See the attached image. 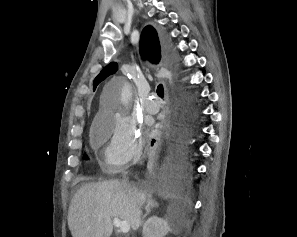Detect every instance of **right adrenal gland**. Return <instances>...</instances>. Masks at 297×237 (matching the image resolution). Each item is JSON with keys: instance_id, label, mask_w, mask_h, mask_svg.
Segmentation results:
<instances>
[{"instance_id": "right-adrenal-gland-1", "label": "right adrenal gland", "mask_w": 297, "mask_h": 237, "mask_svg": "<svg viewBox=\"0 0 297 237\" xmlns=\"http://www.w3.org/2000/svg\"><path fill=\"white\" fill-rule=\"evenodd\" d=\"M146 203H147L145 206L146 214L142 217L141 224H140L141 226L143 224L145 217L150 214L151 209L159 206V204L155 201V199L152 198L151 195L147 197Z\"/></svg>"}]
</instances>
